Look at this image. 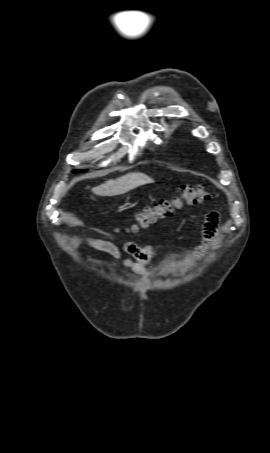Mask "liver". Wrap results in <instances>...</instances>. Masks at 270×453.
Wrapping results in <instances>:
<instances>
[{"mask_svg":"<svg viewBox=\"0 0 270 453\" xmlns=\"http://www.w3.org/2000/svg\"><path fill=\"white\" fill-rule=\"evenodd\" d=\"M154 180L143 173H128L115 180H108L105 183L92 188V192L97 196H116L125 194L139 186L153 183Z\"/></svg>","mask_w":270,"mask_h":453,"instance_id":"liver-1","label":"liver"}]
</instances>
